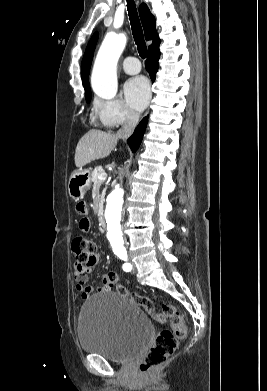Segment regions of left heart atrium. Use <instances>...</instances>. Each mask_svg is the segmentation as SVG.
<instances>
[{
  "instance_id": "1",
  "label": "left heart atrium",
  "mask_w": 267,
  "mask_h": 391,
  "mask_svg": "<svg viewBox=\"0 0 267 391\" xmlns=\"http://www.w3.org/2000/svg\"><path fill=\"white\" fill-rule=\"evenodd\" d=\"M124 94L128 104L135 110H143L150 99L149 83L144 77L130 79L124 87Z\"/></svg>"
}]
</instances>
